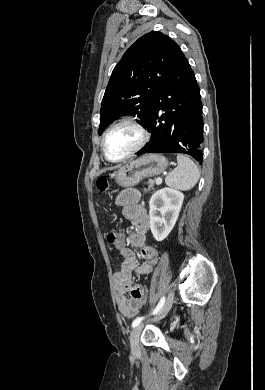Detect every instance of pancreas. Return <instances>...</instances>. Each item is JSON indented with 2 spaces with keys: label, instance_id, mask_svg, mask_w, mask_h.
Returning <instances> with one entry per match:
<instances>
[{
  "label": "pancreas",
  "instance_id": "1",
  "mask_svg": "<svg viewBox=\"0 0 265 390\" xmlns=\"http://www.w3.org/2000/svg\"><path fill=\"white\" fill-rule=\"evenodd\" d=\"M147 184H148V189L147 190L149 191V190H151L154 187L155 183H154V180L150 179Z\"/></svg>",
  "mask_w": 265,
  "mask_h": 390
}]
</instances>
